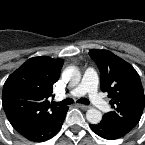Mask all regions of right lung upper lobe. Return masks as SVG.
<instances>
[{"label":"right lung upper lobe","instance_id":"obj_1","mask_svg":"<svg viewBox=\"0 0 145 145\" xmlns=\"http://www.w3.org/2000/svg\"><path fill=\"white\" fill-rule=\"evenodd\" d=\"M63 60L34 57L22 64L3 86L2 105L11 125L22 135L46 125L65 106L53 100V84Z\"/></svg>","mask_w":145,"mask_h":145}]
</instances>
